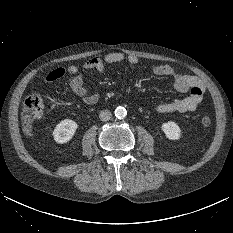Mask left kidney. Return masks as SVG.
I'll return each mask as SVG.
<instances>
[{
    "label": "left kidney",
    "mask_w": 233,
    "mask_h": 233,
    "mask_svg": "<svg viewBox=\"0 0 233 233\" xmlns=\"http://www.w3.org/2000/svg\"><path fill=\"white\" fill-rule=\"evenodd\" d=\"M162 131L170 140H178L182 136L180 127L173 121H168L162 124Z\"/></svg>",
    "instance_id": "5707ae66"
}]
</instances>
